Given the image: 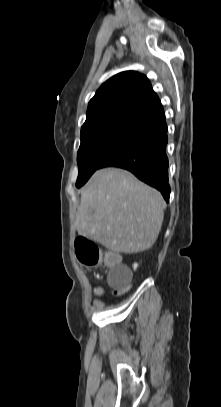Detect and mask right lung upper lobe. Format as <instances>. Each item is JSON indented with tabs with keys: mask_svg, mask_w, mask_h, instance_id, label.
<instances>
[{
	"mask_svg": "<svg viewBox=\"0 0 221 407\" xmlns=\"http://www.w3.org/2000/svg\"><path fill=\"white\" fill-rule=\"evenodd\" d=\"M163 110L146 76L125 71L106 81L90 100L81 137L115 125H136Z\"/></svg>",
	"mask_w": 221,
	"mask_h": 407,
	"instance_id": "right-lung-upper-lobe-1",
	"label": "right lung upper lobe"
}]
</instances>
